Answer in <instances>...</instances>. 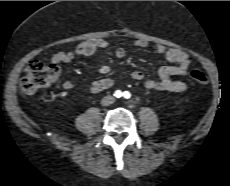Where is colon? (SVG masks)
<instances>
[{"label":"colon","instance_id":"5ec220e1","mask_svg":"<svg viewBox=\"0 0 230 186\" xmlns=\"http://www.w3.org/2000/svg\"><path fill=\"white\" fill-rule=\"evenodd\" d=\"M61 75V69L57 64H48L41 60L31 61L25 68L24 75L20 81V92L31 95L38 90L47 88L56 82ZM190 78L199 84H207L209 79L205 73L193 70Z\"/></svg>","mask_w":230,"mask_h":186}]
</instances>
